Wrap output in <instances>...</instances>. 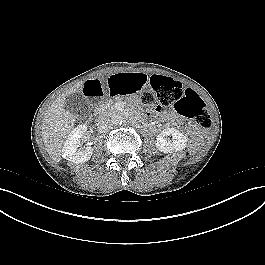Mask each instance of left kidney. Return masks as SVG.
Instances as JSON below:
<instances>
[{
    "instance_id": "1",
    "label": "left kidney",
    "mask_w": 265,
    "mask_h": 265,
    "mask_svg": "<svg viewBox=\"0 0 265 265\" xmlns=\"http://www.w3.org/2000/svg\"><path fill=\"white\" fill-rule=\"evenodd\" d=\"M170 135L172 136V140L168 141L167 137ZM155 145L163 153H172L185 149L187 139L179 130L166 128L157 136Z\"/></svg>"
}]
</instances>
